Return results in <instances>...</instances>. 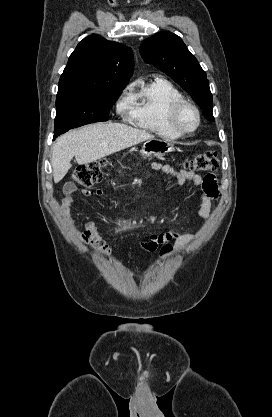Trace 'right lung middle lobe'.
<instances>
[{
  "label": "right lung middle lobe",
  "mask_w": 272,
  "mask_h": 417,
  "mask_svg": "<svg viewBox=\"0 0 272 417\" xmlns=\"http://www.w3.org/2000/svg\"><path fill=\"white\" fill-rule=\"evenodd\" d=\"M122 90L57 98L54 139L71 128L107 121L110 109Z\"/></svg>",
  "instance_id": "obj_1"
}]
</instances>
